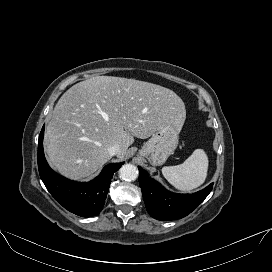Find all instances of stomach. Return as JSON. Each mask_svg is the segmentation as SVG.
<instances>
[{
    "label": "stomach",
    "mask_w": 272,
    "mask_h": 272,
    "mask_svg": "<svg viewBox=\"0 0 272 272\" xmlns=\"http://www.w3.org/2000/svg\"><path fill=\"white\" fill-rule=\"evenodd\" d=\"M180 129L172 122L161 126L139 151L152 165L160 166L178 145Z\"/></svg>",
    "instance_id": "0dacf381"
}]
</instances>
